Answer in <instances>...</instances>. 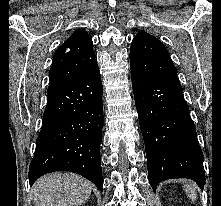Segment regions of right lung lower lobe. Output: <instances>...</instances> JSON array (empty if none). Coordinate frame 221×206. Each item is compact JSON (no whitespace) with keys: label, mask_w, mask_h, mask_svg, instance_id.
<instances>
[{"label":"right lung lower lobe","mask_w":221,"mask_h":206,"mask_svg":"<svg viewBox=\"0 0 221 206\" xmlns=\"http://www.w3.org/2000/svg\"><path fill=\"white\" fill-rule=\"evenodd\" d=\"M102 93L98 65L48 90L42 128L29 167L30 185L46 173L71 171L103 190Z\"/></svg>","instance_id":"right-lung-lower-lobe-1"}]
</instances>
